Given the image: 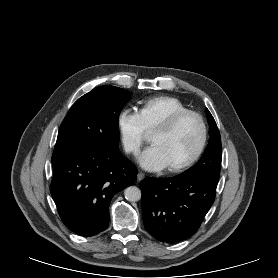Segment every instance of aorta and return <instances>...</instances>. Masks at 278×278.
I'll return each instance as SVG.
<instances>
[{
	"label": "aorta",
	"instance_id": "762f6f07",
	"mask_svg": "<svg viewBox=\"0 0 278 278\" xmlns=\"http://www.w3.org/2000/svg\"><path fill=\"white\" fill-rule=\"evenodd\" d=\"M126 200L137 202L141 199V190L136 186L127 187L124 191Z\"/></svg>",
	"mask_w": 278,
	"mask_h": 278
}]
</instances>
